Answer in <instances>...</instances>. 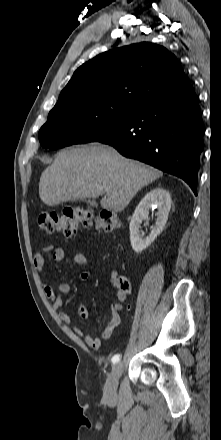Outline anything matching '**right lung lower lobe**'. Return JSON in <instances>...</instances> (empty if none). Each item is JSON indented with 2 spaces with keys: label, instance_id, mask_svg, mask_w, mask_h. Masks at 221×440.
Here are the masks:
<instances>
[{
  "label": "right lung lower lobe",
  "instance_id": "1",
  "mask_svg": "<svg viewBox=\"0 0 221 440\" xmlns=\"http://www.w3.org/2000/svg\"><path fill=\"white\" fill-rule=\"evenodd\" d=\"M97 141L183 179L196 195L203 130L198 99L190 84L144 102Z\"/></svg>",
  "mask_w": 221,
  "mask_h": 440
}]
</instances>
